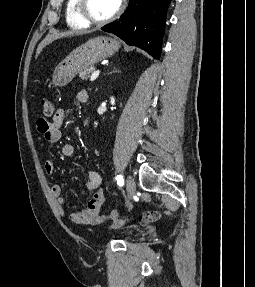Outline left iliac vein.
Wrapping results in <instances>:
<instances>
[{
	"label": "left iliac vein",
	"instance_id": "4c4485c4",
	"mask_svg": "<svg viewBox=\"0 0 255 287\" xmlns=\"http://www.w3.org/2000/svg\"><path fill=\"white\" fill-rule=\"evenodd\" d=\"M126 187H127V193H128V199H132L133 195L136 191V185L133 177L129 175L126 180Z\"/></svg>",
	"mask_w": 255,
	"mask_h": 287
}]
</instances>
